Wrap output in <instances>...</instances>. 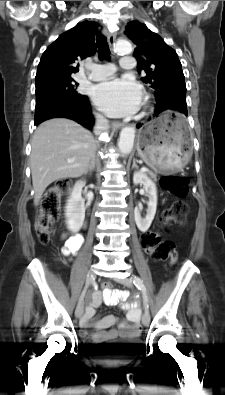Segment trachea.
Returning <instances> with one entry per match:
<instances>
[{
  "label": "trachea",
  "instance_id": "trachea-1",
  "mask_svg": "<svg viewBox=\"0 0 225 395\" xmlns=\"http://www.w3.org/2000/svg\"><path fill=\"white\" fill-rule=\"evenodd\" d=\"M96 43L100 60H108L110 58V49L106 37L98 33L96 36Z\"/></svg>",
  "mask_w": 225,
  "mask_h": 395
}]
</instances>
